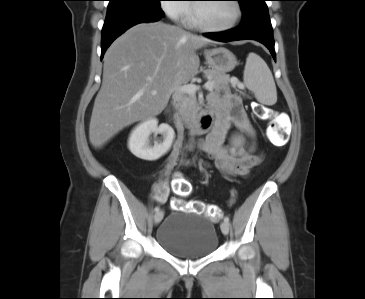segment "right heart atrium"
Masks as SVG:
<instances>
[{
    "mask_svg": "<svg viewBox=\"0 0 365 299\" xmlns=\"http://www.w3.org/2000/svg\"><path fill=\"white\" fill-rule=\"evenodd\" d=\"M183 0H162L161 6L164 13L174 21L186 20L190 7Z\"/></svg>",
    "mask_w": 365,
    "mask_h": 299,
    "instance_id": "right-heart-atrium-1",
    "label": "right heart atrium"
}]
</instances>
